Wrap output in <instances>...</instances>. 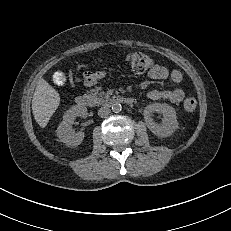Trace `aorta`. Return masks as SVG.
<instances>
[{"label": "aorta", "instance_id": "762f6f07", "mask_svg": "<svg viewBox=\"0 0 231 231\" xmlns=\"http://www.w3.org/2000/svg\"><path fill=\"white\" fill-rule=\"evenodd\" d=\"M111 107L112 111L115 113H119L122 110V105L118 101H115Z\"/></svg>", "mask_w": 231, "mask_h": 231}]
</instances>
